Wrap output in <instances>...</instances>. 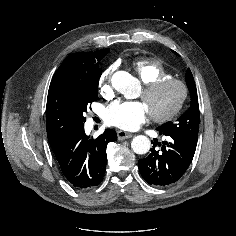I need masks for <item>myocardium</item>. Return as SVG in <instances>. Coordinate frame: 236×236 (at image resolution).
<instances>
[{
  "instance_id": "f54148a6",
  "label": "myocardium",
  "mask_w": 236,
  "mask_h": 236,
  "mask_svg": "<svg viewBox=\"0 0 236 236\" xmlns=\"http://www.w3.org/2000/svg\"><path fill=\"white\" fill-rule=\"evenodd\" d=\"M168 85L178 86L180 89V96L177 102L167 112L163 114H155V113L150 112V117L155 122L163 123V122L170 121L181 111L188 96V87L184 81L177 78H173V77L157 79L153 82L146 84L143 87L142 99L154 94L158 90Z\"/></svg>"
}]
</instances>
